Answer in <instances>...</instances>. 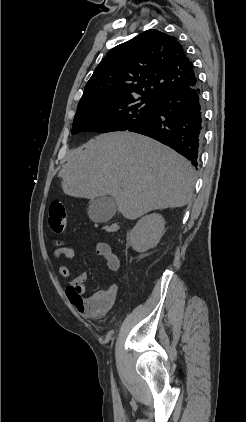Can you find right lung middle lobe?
I'll use <instances>...</instances> for the list:
<instances>
[{"instance_id":"obj_1","label":"right lung middle lobe","mask_w":246,"mask_h":422,"mask_svg":"<svg viewBox=\"0 0 246 422\" xmlns=\"http://www.w3.org/2000/svg\"><path fill=\"white\" fill-rule=\"evenodd\" d=\"M140 99V98H139ZM130 96L96 101L77 108L72 134L82 131L107 133L125 131L154 113V101Z\"/></svg>"}]
</instances>
